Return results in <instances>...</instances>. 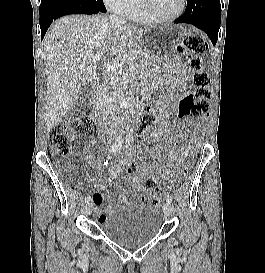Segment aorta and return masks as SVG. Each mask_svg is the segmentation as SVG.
Masks as SVG:
<instances>
[{"instance_id":"aorta-1","label":"aorta","mask_w":265,"mask_h":273,"mask_svg":"<svg viewBox=\"0 0 265 273\" xmlns=\"http://www.w3.org/2000/svg\"><path fill=\"white\" fill-rule=\"evenodd\" d=\"M121 97V93L116 94L114 97L115 100V104H114V111L119 115L120 112V106L118 105V98ZM118 119H120V117L118 116Z\"/></svg>"}]
</instances>
